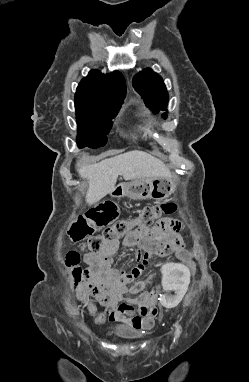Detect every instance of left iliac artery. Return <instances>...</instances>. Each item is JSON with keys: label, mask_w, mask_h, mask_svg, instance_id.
Masks as SVG:
<instances>
[{"label": "left iliac artery", "mask_w": 249, "mask_h": 382, "mask_svg": "<svg viewBox=\"0 0 249 382\" xmlns=\"http://www.w3.org/2000/svg\"><path fill=\"white\" fill-rule=\"evenodd\" d=\"M180 335V326L179 325H176V333H175V337L178 338Z\"/></svg>", "instance_id": "obj_1"}]
</instances>
